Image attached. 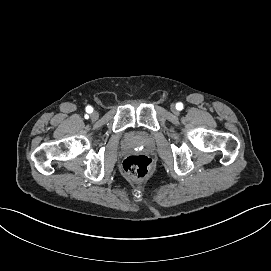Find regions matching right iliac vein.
Instances as JSON below:
<instances>
[{
  "instance_id": "63e3f726",
  "label": "right iliac vein",
  "mask_w": 271,
  "mask_h": 271,
  "mask_svg": "<svg viewBox=\"0 0 271 271\" xmlns=\"http://www.w3.org/2000/svg\"><path fill=\"white\" fill-rule=\"evenodd\" d=\"M90 117H91L92 120H97L98 117H99V114H98L97 111L94 110V111L91 112Z\"/></svg>"
}]
</instances>
